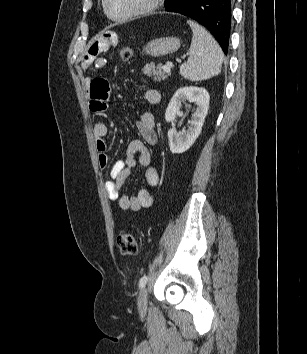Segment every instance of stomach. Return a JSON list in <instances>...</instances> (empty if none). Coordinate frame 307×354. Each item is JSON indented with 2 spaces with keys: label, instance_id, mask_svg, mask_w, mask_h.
Instances as JSON below:
<instances>
[{
  "label": "stomach",
  "instance_id": "obj_1",
  "mask_svg": "<svg viewBox=\"0 0 307 354\" xmlns=\"http://www.w3.org/2000/svg\"><path fill=\"white\" fill-rule=\"evenodd\" d=\"M181 42L177 37H161L149 41L143 52L152 57H161L176 52Z\"/></svg>",
  "mask_w": 307,
  "mask_h": 354
}]
</instances>
